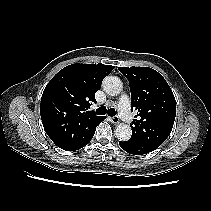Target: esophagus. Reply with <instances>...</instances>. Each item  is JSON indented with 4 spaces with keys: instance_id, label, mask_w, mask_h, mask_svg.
<instances>
[{
    "instance_id": "1",
    "label": "esophagus",
    "mask_w": 211,
    "mask_h": 211,
    "mask_svg": "<svg viewBox=\"0 0 211 211\" xmlns=\"http://www.w3.org/2000/svg\"><path fill=\"white\" fill-rule=\"evenodd\" d=\"M111 121H112V123H114V124H118V123L120 122V119H119L118 116H113V117L111 118Z\"/></svg>"
}]
</instances>
